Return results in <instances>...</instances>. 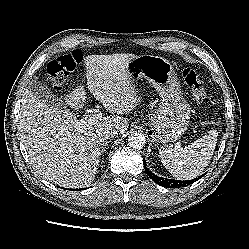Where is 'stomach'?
I'll use <instances>...</instances> for the list:
<instances>
[{"label":"stomach","mask_w":249,"mask_h":249,"mask_svg":"<svg viewBox=\"0 0 249 249\" xmlns=\"http://www.w3.org/2000/svg\"><path fill=\"white\" fill-rule=\"evenodd\" d=\"M126 70L134 81L148 80L160 96V105L150 120L154 141L178 140L189 124L190 106L183 98L173 65L160 56L140 55L126 64Z\"/></svg>","instance_id":"0dacf381"}]
</instances>
